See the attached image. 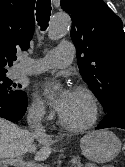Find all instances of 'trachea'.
<instances>
[{"mask_svg":"<svg viewBox=\"0 0 125 167\" xmlns=\"http://www.w3.org/2000/svg\"><path fill=\"white\" fill-rule=\"evenodd\" d=\"M51 9V0H37L36 17L42 31H45L48 27Z\"/></svg>","mask_w":125,"mask_h":167,"instance_id":"1","label":"trachea"}]
</instances>
